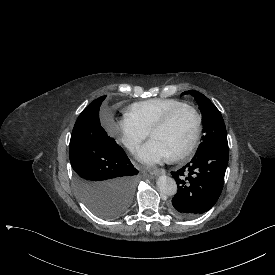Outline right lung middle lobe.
<instances>
[{
	"label": "right lung middle lobe",
	"mask_w": 275,
	"mask_h": 275,
	"mask_svg": "<svg viewBox=\"0 0 275 275\" xmlns=\"http://www.w3.org/2000/svg\"><path fill=\"white\" fill-rule=\"evenodd\" d=\"M105 98L94 100L79 115L69 158L75 187L88 208L100 217L116 218L129 209L140 175L100 125L99 108Z\"/></svg>",
	"instance_id": "dd1d6c3e"
}]
</instances>
